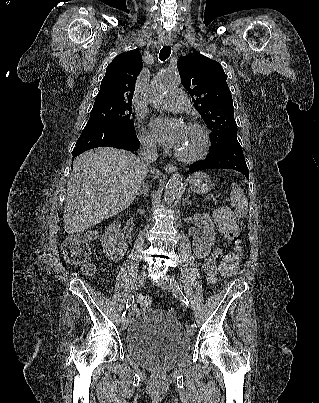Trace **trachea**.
Returning <instances> with one entry per match:
<instances>
[{
	"mask_svg": "<svg viewBox=\"0 0 319 403\" xmlns=\"http://www.w3.org/2000/svg\"><path fill=\"white\" fill-rule=\"evenodd\" d=\"M170 54H171V47L164 46L160 51L159 58L160 60L165 61L170 56Z\"/></svg>",
	"mask_w": 319,
	"mask_h": 403,
	"instance_id": "1",
	"label": "trachea"
}]
</instances>
